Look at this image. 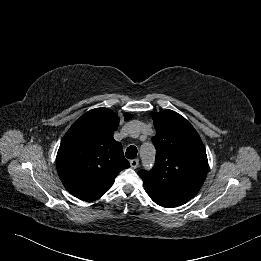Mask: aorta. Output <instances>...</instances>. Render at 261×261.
Listing matches in <instances>:
<instances>
[{"label":"aorta","mask_w":261,"mask_h":261,"mask_svg":"<svg viewBox=\"0 0 261 261\" xmlns=\"http://www.w3.org/2000/svg\"><path fill=\"white\" fill-rule=\"evenodd\" d=\"M140 155L143 161H153L155 155V149L152 144H145L140 149Z\"/></svg>","instance_id":"aorta-1"}]
</instances>
